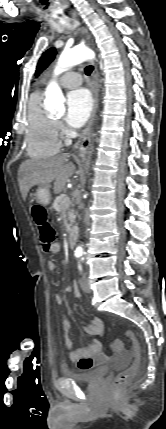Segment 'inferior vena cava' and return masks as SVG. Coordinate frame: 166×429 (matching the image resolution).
Masks as SVG:
<instances>
[{"instance_id": "602c4592", "label": "inferior vena cava", "mask_w": 166, "mask_h": 429, "mask_svg": "<svg viewBox=\"0 0 166 429\" xmlns=\"http://www.w3.org/2000/svg\"><path fill=\"white\" fill-rule=\"evenodd\" d=\"M83 222L85 225H89V217L88 215L85 214L84 218H83Z\"/></svg>"}]
</instances>
